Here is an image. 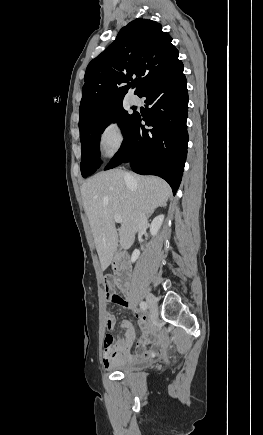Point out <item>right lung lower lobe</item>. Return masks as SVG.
Returning a JSON list of instances; mask_svg holds the SVG:
<instances>
[{"instance_id":"1","label":"right lung lower lobe","mask_w":263,"mask_h":435,"mask_svg":"<svg viewBox=\"0 0 263 435\" xmlns=\"http://www.w3.org/2000/svg\"><path fill=\"white\" fill-rule=\"evenodd\" d=\"M139 97H146V113L136 117L124 136L121 149L105 170L129 162L142 175L165 179L176 193L187 156V81L180 62L153 82ZM144 120L150 129L141 125Z\"/></svg>"}]
</instances>
